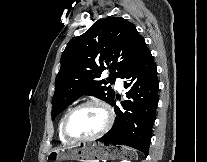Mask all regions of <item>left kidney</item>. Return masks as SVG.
<instances>
[{
	"label": "left kidney",
	"mask_w": 207,
	"mask_h": 162,
	"mask_svg": "<svg viewBox=\"0 0 207 162\" xmlns=\"http://www.w3.org/2000/svg\"><path fill=\"white\" fill-rule=\"evenodd\" d=\"M121 162H130V161H127V160H123V161H121Z\"/></svg>",
	"instance_id": "left-kidney-1"
}]
</instances>
